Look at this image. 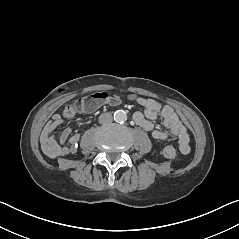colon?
<instances>
[{
  "instance_id": "1",
  "label": "colon",
  "mask_w": 239,
  "mask_h": 239,
  "mask_svg": "<svg viewBox=\"0 0 239 239\" xmlns=\"http://www.w3.org/2000/svg\"><path fill=\"white\" fill-rule=\"evenodd\" d=\"M119 102V98L115 95H110L107 92H96L84 97L77 104H72L66 108L68 114L74 116L79 110L93 109L104 104L114 105ZM164 155L169 159H177L175 148L168 146L164 149Z\"/></svg>"
}]
</instances>
